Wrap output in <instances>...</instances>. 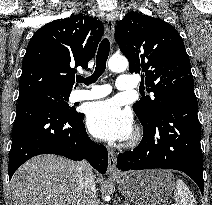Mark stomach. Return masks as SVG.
Returning a JSON list of instances; mask_svg holds the SVG:
<instances>
[{"label": "stomach", "mask_w": 212, "mask_h": 205, "mask_svg": "<svg viewBox=\"0 0 212 205\" xmlns=\"http://www.w3.org/2000/svg\"><path fill=\"white\" fill-rule=\"evenodd\" d=\"M121 194L135 205H163L172 195L175 179L168 170H141L115 178Z\"/></svg>", "instance_id": "obj_1"}]
</instances>
